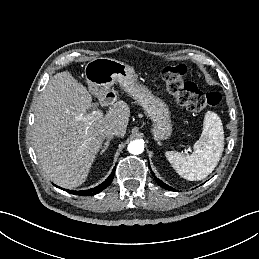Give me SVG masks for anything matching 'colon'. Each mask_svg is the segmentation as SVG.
Listing matches in <instances>:
<instances>
[{"label": "colon", "mask_w": 259, "mask_h": 259, "mask_svg": "<svg viewBox=\"0 0 259 259\" xmlns=\"http://www.w3.org/2000/svg\"><path fill=\"white\" fill-rule=\"evenodd\" d=\"M186 72L184 64L170 65L162 71L165 89L178 104L190 111L199 112L215 107L221 102L220 93H203L193 82L185 81Z\"/></svg>", "instance_id": "colon-1"}]
</instances>
